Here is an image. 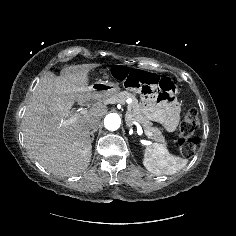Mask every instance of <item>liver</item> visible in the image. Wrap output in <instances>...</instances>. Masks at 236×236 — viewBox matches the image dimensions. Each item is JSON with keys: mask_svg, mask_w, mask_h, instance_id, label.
Returning <instances> with one entry per match:
<instances>
[{"mask_svg": "<svg viewBox=\"0 0 236 236\" xmlns=\"http://www.w3.org/2000/svg\"><path fill=\"white\" fill-rule=\"evenodd\" d=\"M100 64L68 66L60 76L46 72L36 84L26 106L22 125L26 148L31 156L54 175L72 176L83 172L92 155V142L87 123L101 119L107 112L103 98L93 94L89 72ZM97 102L85 114H73L75 102ZM75 121L62 126L71 117Z\"/></svg>", "mask_w": 236, "mask_h": 236, "instance_id": "1", "label": "liver"}]
</instances>
